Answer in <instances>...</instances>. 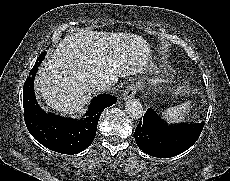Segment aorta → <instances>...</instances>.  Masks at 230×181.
I'll return each instance as SVG.
<instances>
[{
  "mask_svg": "<svg viewBox=\"0 0 230 181\" xmlns=\"http://www.w3.org/2000/svg\"><path fill=\"white\" fill-rule=\"evenodd\" d=\"M125 111L132 118L139 120L144 114V109L138 99L131 98L125 103Z\"/></svg>",
  "mask_w": 230,
  "mask_h": 181,
  "instance_id": "762f6f07",
  "label": "aorta"
}]
</instances>
